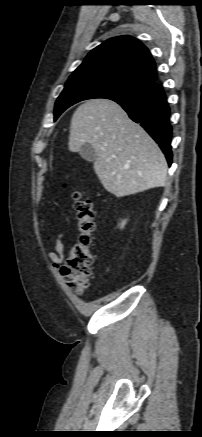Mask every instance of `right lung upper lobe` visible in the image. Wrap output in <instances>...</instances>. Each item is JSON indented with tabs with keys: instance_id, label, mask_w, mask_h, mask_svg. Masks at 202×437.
Returning <instances> with one entry per match:
<instances>
[{
	"instance_id": "cb5924a9",
	"label": "right lung upper lobe",
	"mask_w": 202,
	"mask_h": 437,
	"mask_svg": "<svg viewBox=\"0 0 202 437\" xmlns=\"http://www.w3.org/2000/svg\"><path fill=\"white\" fill-rule=\"evenodd\" d=\"M110 71L155 84V62L149 50L130 36L110 38L94 48L74 71Z\"/></svg>"
}]
</instances>
